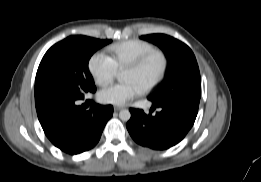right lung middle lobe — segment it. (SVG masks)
Masks as SVG:
<instances>
[{
    "label": "right lung middle lobe",
    "mask_w": 261,
    "mask_h": 182,
    "mask_svg": "<svg viewBox=\"0 0 261 182\" xmlns=\"http://www.w3.org/2000/svg\"><path fill=\"white\" fill-rule=\"evenodd\" d=\"M112 40L70 36L53 45L42 58L35 79V100L53 93L83 99L95 92L88 62L93 53Z\"/></svg>",
    "instance_id": "right-lung-middle-lobe-1"
}]
</instances>
